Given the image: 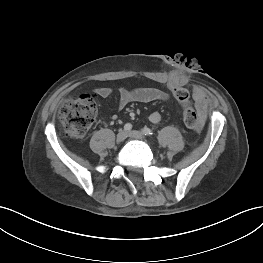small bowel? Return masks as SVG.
I'll use <instances>...</instances> for the list:
<instances>
[{
  "mask_svg": "<svg viewBox=\"0 0 263 263\" xmlns=\"http://www.w3.org/2000/svg\"><path fill=\"white\" fill-rule=\"evenodd\" d=\"M174 87H176V85L174 84L169 85V88L172 94H173ZM95 93L102 98H107L112 94V89L109 87H99L95 90ZM169 98H170L169 93L161 89L154 88V87H140V88H135V89L120 88L119 89V106L121 108L125 107L126 105L132 102L149 103L153 101H166ZM193 98L195 101V106L200 114L201 119H205L206 113H207V107H208V100H207L206 95L201 89L196 88L193 92ZM161 119L162 117L159 112H152L149 115V121L153 124L159 123ZM201 132L202 131H200V133Z\"/></svg>",
  "mask_w": 263,
  "mask_h": 263,
  "instance_id": "c3829d8e",
  "label": "small bowel"
}]
</instances>
